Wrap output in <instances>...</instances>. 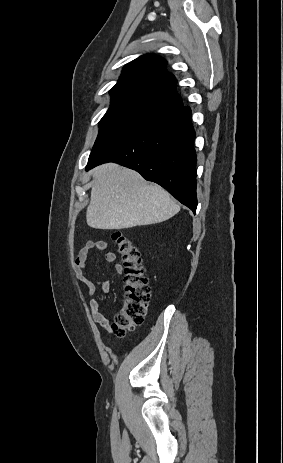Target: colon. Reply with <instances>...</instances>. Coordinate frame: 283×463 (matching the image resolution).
Masks as SVG:
<instances>
[{
	"label": "colon",
	"instance_id": "obj_1",
	"mask_svg": "<svg viewBox=\"0 0 283 463\" xmlns=\"http://www.w3.org/2000/svg\"><path fill=\"white\" fill-rule=\"evenodd\" d=\"M112 239L123 262L125 298L111 328L117 336H124L143 322L151 291L139 251L133 241L120 231H115Z\"/></svg>",
	"mask_w": 283,
	"mask_h": 463
}]
</instances>
